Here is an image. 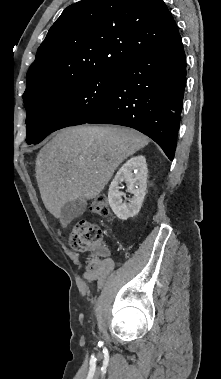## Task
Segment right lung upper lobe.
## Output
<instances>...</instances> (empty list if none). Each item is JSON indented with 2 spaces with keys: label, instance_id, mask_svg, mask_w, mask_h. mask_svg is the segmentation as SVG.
Masks as SVG:
<instances>
[{
  "label": "right lung upper lobe",
  "instance_id": "obj_1",
  "mask_svg": "<svg viewBox=\"0 0 221 379\" xmlns=\"http://www.w3.org/2000/svg\"><path fill=\"white\" fill-rule=\"evenodd\" d=\"M179 34L163 0H82L48 31L27 72L24 103L73 79L118 69Z\"/></svg>",
  "mask_w": 221,
  "mask_h": 379
}]
</instances>
